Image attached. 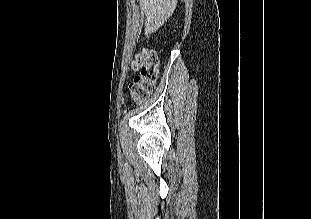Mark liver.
<instances>
[{"label":"liver","mask_w":311,"mask_h":219,"mask_svg":"<svg viewBox=\"0 0 311 219\" xmlns=\"http://www.w3.org/2000/svg\"><path fill=\"white\" fill-rule=\"evenodd\" d=\"M178 0H140L146 15L145 35L156 32L172 16Z\"/></svg>","instance_id":"liver-1"}]
</instances>
